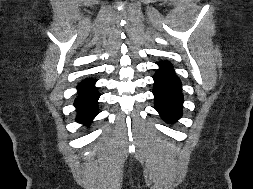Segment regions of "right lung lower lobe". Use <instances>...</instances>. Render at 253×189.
<instances>
[{
	"instance_id": "obj_1",
	"label": "right lung lower lobe",
	"mask_w": 253,
	"mask_h": 189,
	"mask_svg": "<svg viewBox=\"0 0 253 189\" xmlns=\"http://www.w3.org/2000/svg\"><path fill=\"white\" fill-rule=\"evenodd\" d=\"M95 80L88 79L82 81L77 89L79 95L75 100L74 106L77 110L76 121L88 125L98 114L99 93L94 87Z\"/></svg>"
}]
</instances>
